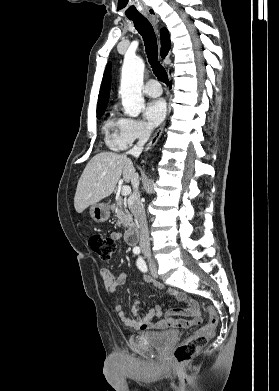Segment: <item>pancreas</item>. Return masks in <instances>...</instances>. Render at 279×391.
<instances>
[{"label":"pancreas","instance_id":"1","mask_svg":"<svg viewBox=\"0 0 279 391\" xmlns=\"http://www.w3.org/2000/svg\"><path fill=\"white\" fill-rule=\"evenodd\" d=\"M112 212L118 218L117 224H123L125 227L132 226V216L128 209L123 205V200L117 198L116 202L110 206Z\"/></svg>","mask_w":279,"mask_h":391}]
</instances>
